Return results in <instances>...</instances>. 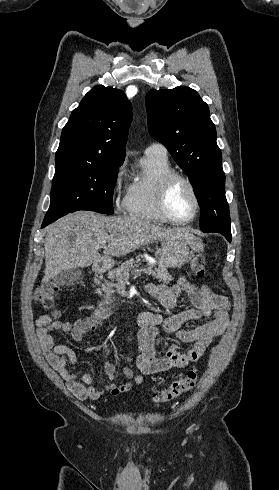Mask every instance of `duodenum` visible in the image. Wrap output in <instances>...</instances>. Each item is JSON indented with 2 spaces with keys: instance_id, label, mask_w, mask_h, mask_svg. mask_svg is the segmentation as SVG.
<instances>
[{
  "instance_id": "duodenum-1",
  "label": "duodenum",
  "mask_w": 279,
  "mask_h": 490,
  "mask_svg": "<svg viewBox=\"0 0 279 490\" xmlns=\"http://www.w3.org/2000/svg\"><path fill=\"white\" fill-rule=\"evenodd\" d=\"M104 268V263L98 261L95 263V269L100 271ZM119 296H125V293H119ZM116 298L115 297H107L105 298L98 308L95 310V315L99 318H107L110 316L115 308Z\"/></svg>"
}]
</instances>
